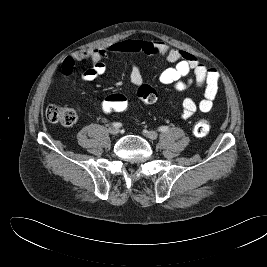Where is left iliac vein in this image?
<instances>
[{
  "mask_svg": "<svg viewBox=\"0 0 267 267\" xmlns=\"http://www.w3.org/2000/svg\"><path fill=\"white\" fill-rule=\"evenodd\" d=\"M143 134L151 140L157 139L158 137V133L155 131H143Z\"/></svg>",
  "mask_w": 267,
  "mask_h": 267,
  "instance_id": "obj_1",
  "label": "left iliac vein"
}]
</instances>
